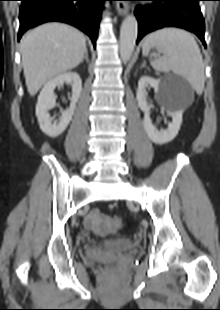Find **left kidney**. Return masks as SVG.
<instances>
[{
	"instance_id": "left-kidney-1",
	"label": "left kidney",
	"mask_w": 220,
	"mask_h": 310,
	"mask_svg": "<svg viewBox=\"0 0 220 310\" xmlns=\"http://www.w3.org/2000/svg\"><path fill=\"white\" fill-rule=\"evenodd\" d=\"M148 87L154 88L155 92L157 93V99L159 101H164V99L168 96L170 87L163 83L161 80L143 76L138 82L136 96L138 106L144 112L143 126L148 137L156 144H166L171 142L177 136L182 123V114L184 108H173L171 104L166 103V110L168 115L172 117V122L168 124V128L166 130L158 131L150 119V106L147 101L146 91V88Z\"/></svg>"
}]
</instances>
